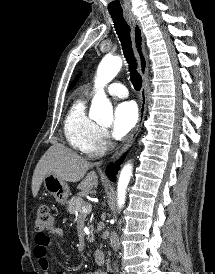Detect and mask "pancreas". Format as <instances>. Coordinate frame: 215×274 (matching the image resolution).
<instances>
[{"mask_svg":"<svg viewBox=\"0 0 215 274\" xmlns=\"http://www.w3.org/2000/svg\"><path fill=\"white\" fill-rule=\"evenodd\" d=\"M85 205V202L81 197H72L68 202H67V212H69L71 215H76L78 213V219L79 220H85V213L81 212V208ZM87 240L89 242L94 241V237L91 231V236L87 237Z\"/></svg>","mask_w":215,"mask_h":274,"instance_id":"cf45deb5","label":"pancreas"}]
</instances>
